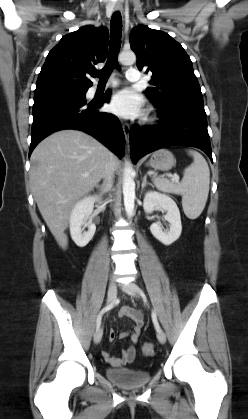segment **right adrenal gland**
<instances>
[{
    "label": "right adrenal gland",
    "instance_id": "1",
    "mask_svg": "<svg viewBox=\"0 0 248 419\" xmlns=\"http://www.w3.org/2000/svg\"><path fill=\"white\" fill-rule=\"evenodd\" d=\"M95 187L99 189L101 195L107 192V189L105 188L104 184H96Z\"/></svg>",
    "mask_w": 248,
    "mask_h": 419
}]
</instances>
